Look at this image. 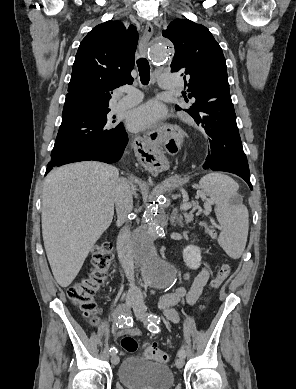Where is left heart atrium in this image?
<instances>
[{"label": "left heart atrium", "instance_id": "left-heart-atrium-1", "mask_svg": "<svg viewBox=\"0 0 296 389\" xmlns=\"http://www.w3.org/2000/svg\"><path fill=\"white\" fill-rule=\"evenodd\" d=\"M164 116V107L156 101H149L130 112L128 127L134 132L143 131L155 125Z\"/></svg>", "mask_w": 296, "mask_h": 389}]
</instances>
